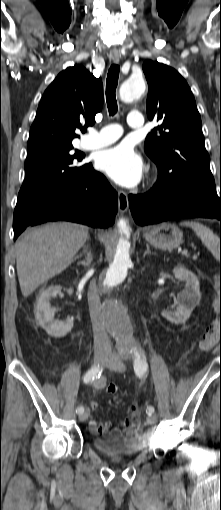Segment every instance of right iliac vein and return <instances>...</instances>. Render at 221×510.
<instances>
[{"label":"right iliac vein","mask_w":221,"mask_h":510,"mask_svg":"<svg viewBox=\"0 0 221 510\" xmlns=\"http://www.w3.org/2000/svg\"><path fill=\"white\" fill-rule=\"evenodd\" d=\"M109 358V355L105 354V353H95L94 354V363L97 365V364H103L104 362H106ZM89 414H90V410L87 408L85 409V411H83L82 413L79 414V420L84 422L88 419L89 417Z\"/></svg>","instance_id":"right-iliac-vein-1"}]
</instances>
